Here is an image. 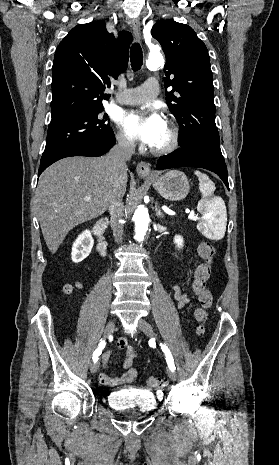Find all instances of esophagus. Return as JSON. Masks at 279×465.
I'll use <instances>...</instances> for the list:
<instances>
[{"label": "esophagus", "mask_w": 279, "mask_h": 465, "mask_svg": "<svg viewBox=\"0 0 279 465\" xmlns=\"http://www.w3.org/2000/svg\"><path fill=\"white\" fill-rule=\"evenodd\" d=\"M131 27L133 29L134 35L138 41H141L142 34H141V23L139 19L134 18L131 20ZM136 172L141 177H148L152 175V170L150 164L146 162H139L136 166Z\"/></svg>", "instance_id": "34e87169"}]
</instances>
